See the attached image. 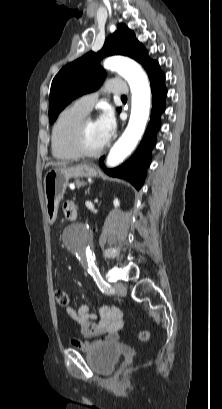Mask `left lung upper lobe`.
Masks as SVG:
<instances>
[{
	"label": "left lung upper lobe",
	"mask_w": 222,
	"mask_h": 409,
	"mask_svg": "<svg viewBox=\"0 0 222 409\" xmlns=\"http://www.w3.org/2000/svg\"><path fill=\"white\" fill-rule=\"evenodd\" d=\"M115 54L129 56L138 61L146 69L149 78L160 72L159 64L148 57L147 50L135 38L134 32L126 25L119 24L117 31L106 39L98 53L85 54L64 66L54 77L49 104L51 124L74 98L98 89L105 75L99 65V57L104 58Z\"/></svg>",
	"instance_id": "1"
}]
</instances>
